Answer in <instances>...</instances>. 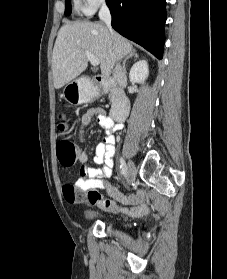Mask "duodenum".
Wrapping results in <instances>:
<instances>
[{
	"instance_id": "duodenum-1",
	"label": "duodenum",
	"mask_w": 227,
	"mask_h": 279,
	"mask_svg": "<svg viewBox=\"0 0 227 279\" xmlns=\"http://www.w3.org/2000/svg\"><path fill=\"white\" fill-rule=\"evenodd\" d=\"M109 90L114 91L115 104L112 111V118L121 123L126 120L129 109H130V99L129 97L121 91L117 84L108 78H94L93 86L81 93V104H88L95 101L99 96L107 93Z\"/></svg>"
}]
</instances>
